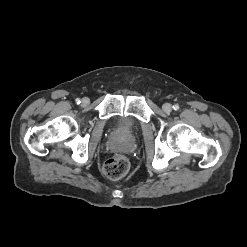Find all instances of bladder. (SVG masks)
<instances>
[{
	"label": "bladder",
	"instance_id": "31cf9c89",
	"mask_svg": "<svg viewBox=\"0 0 247 247\" xmlns=\"http://www.w3.org/2000/svg\"><path fill=\"white\" fill-rule=\"evenodd\" d=\"M118 129L122 133H130L133 129V123L130 119L124 118L120 121Z\"/></svg>",
	"mask_w": 247,
	"mask_h": 247
}]
</instances>
